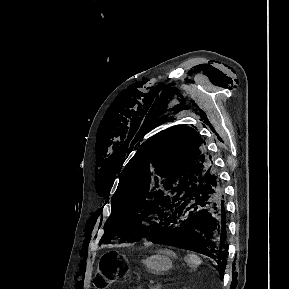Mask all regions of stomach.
Returning <instances> with one entry per match:
<instances>
[{"label": "stomach", "instance_id": "stomach-1", "mask_svg": "<svg viewBox=\"0 0 289 289\" xmlns=\"http://www.w3.org/2000/svg\"><path fill=\"white\" fill-rule=\"evenodd\" d=\"M171 252L168 250H161L154 255H151L142 260L147 270L153 274H161L167 272L172 267L170 259Z\"/></svg>", "mask_w": 289, "mask_h": 289}]
</instances>
